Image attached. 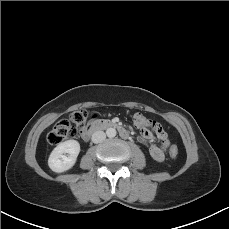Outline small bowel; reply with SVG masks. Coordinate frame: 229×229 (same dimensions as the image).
<instances>
[{
  "mask_svg": "<svg viewBox=\"0 0 229 229\" xmlns=\"http://www.w3.org/2000/svg\"><path fill=\"white\" fill-rule=\"evenodd\" d=\"M151 126H146L142 128V134L147 140H151L153 138V132L150 129ZM155 130V129H154ZM156 137L160 140L161 144H152L148 145V151L151 157L157 161L162 162L165 159V152L169 146V141L167 134L163 131L162 127L159 125L158 129L155 130Z\"/></svg>",
  "mask_w": 229,
  "mask_h": 229,
  "instance_id": "small-bowel-1",
  "label": "small bowel"
}]
</instances>
